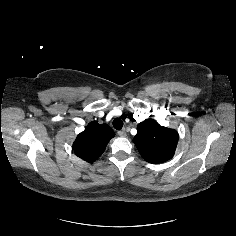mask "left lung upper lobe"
Masks as SVG:
<instances>
[{
    "mask_svg": "<svg viewBox=\"0 0 236 236\" xmlns=\"http://www.w3.org/2000/svg\"><path fill=\"white\" fill-rule=\"evenodd\" d=\"M137 130L133 141L147 162L159 164L173 157L178 142L175 130L160 126L153 119L139 123Z\"/></svg>",
    "mask_w": 236,
    "mask_h": 236,
    "instance_id": "left-lung-upper-lobe-1",
    "label": "left lung upper lobe"
}]
</instances>
